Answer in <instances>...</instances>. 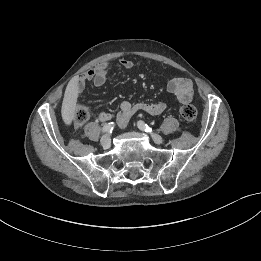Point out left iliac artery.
<instances>
[{"instance_id": "left-iliac-artery-1", "label": "left iliac artery", "mask_w": 261, "mask_h": 261, "mask_svg": "<svg viewBox=\"0 0 261 261\" xmlns=\"http://www.w3.org/2000/svg\"><path fill=\"white\" fill-rule=\"evenodd\" d=\"M137 125H138L139 129H141L145 132H151L152 131V129L142 120H139Z\"/></svg>"}]
</instances>
